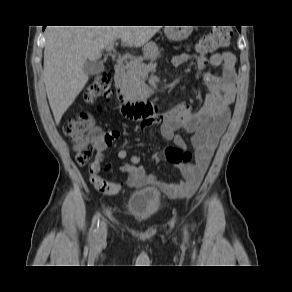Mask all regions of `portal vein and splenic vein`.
Here are the masks:
<instances>
[{
  "label": "portal vein and splenic vein",
  "mask_w": 292,
  "mask_h": 292,
  "mask_svg": "<svg viewBox=\"0 0 292 292\" xmlns=\"http://www.w3.org/2000/svg\"><path fill=\"white\" fill-rule=\"evenodd\" d=\"M114 43H111L110 45L107 46L106 51L111 52L113 50ZM157 66L156 63H150L148 65H143L141 68L143 69L144 72H148L152 69H155Z\"/></svg>",
  "instance_id": "obj_1"
}]
</instances>
